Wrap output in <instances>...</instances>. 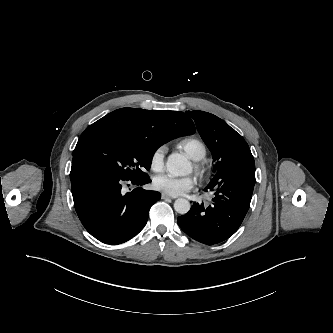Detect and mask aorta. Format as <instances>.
Segmentation results:
<instances>
[{
  "mask_svg": "<svg viewBox=\"0 0 333 333\" xmlns=\"http://www.w3.org/2000/svg\"><path fill=\"white\" fill-rule=\"evenodd\" d=\"M167 171L175 176H186L190 172V164L184 156L178 153H172L169 155L166 162ZM174 209L179 214H186L190 210V203L188 200L178 198L174 202Z\"/></svg>",
  "mask_w": 333,
  "mask_h": 333,
  "instance_id": "762f6f07",
  "label": "aorta"
}]
</instances>
